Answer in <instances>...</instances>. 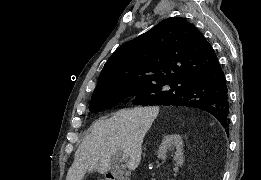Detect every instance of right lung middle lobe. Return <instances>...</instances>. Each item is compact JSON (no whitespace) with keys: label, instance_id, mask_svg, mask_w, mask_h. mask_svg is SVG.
<instances>
[{"label":"right lung middle lobe","instance_id":"dd1d6c3e","mask_svg":"<svg viewBox=\"0 0 261 180\" xmlns=\"http://www.w3.org/2000/svg\"><path fill=\"white\" fill-rule=\"evenodd\" d=\"M186 84L187 81L162 80L122 89L91 99L89 110L91 112H100L113 107L117 102L131 95L138 97L134 101L135 104L162 105L166 101L179 96L184 91Z\"/></svg>","mask_w":261,"mask_h":180}]
</instances>
